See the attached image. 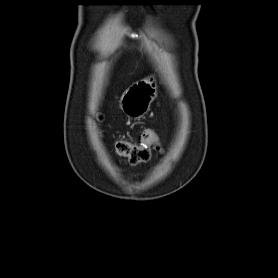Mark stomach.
<instances>
[{
  "label": "stomach",
  "instance_id": "obj_1",
  "mask_svg": "<svg viewBox=\"0 0 278 278\" xmlns=\"http://www.w3.org/2000/svg\"><path fill=\"white\" fill-rule=\"evenodd\" d=\"M157 96V85L154 79H144L131 85L122 94L120 108L132 119L142 118L150 109Z\"/></svg>",
  "mask_w": 278,
  "mask_h": 278
}]
</instances>
